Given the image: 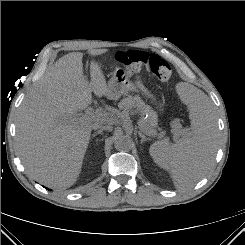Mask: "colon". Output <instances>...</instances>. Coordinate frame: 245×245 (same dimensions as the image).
Segmentation results:
<instances>
[{"mask_svg":"<svg viewBox=\"0 0 245 245\" xmlns=\"http://www.w3.org/2000/svg\"><path fill=\"white\" fill-rule=\"evenodd\" d=\"M115 60L124 65L130 74L137 73L142 67H145L162 82L170 81L173 75L170 64L156 54L139 50H126L118 52L115 55Z\"/></svg>","mask_w":245,"mask_h":245,"instance_id":"obj_1","label":"colon"}]
</instances>
